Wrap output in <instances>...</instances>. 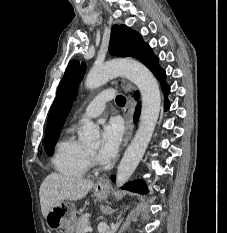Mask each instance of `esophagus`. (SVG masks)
Returning <instances> with one entry per match:
<instances>
[{"label":"esophagus","instance_id":"obj_1","mask_svg":"<svg viewBox=\"0 0 227 233\" xmlns=\"http://www.w3.org/2000/svg\"><path fill=\"white\" fill-rule=\"evenodd\" d=\"M120 84L122 89L128 93L126 105L123 109V116L125 118V136L123 140V148H125L132 138L133 132H134V124H133V110L135 106V100L134 98L129 94L132 92L133 87L125 80L121 79ZM107 181L105 180H99L97 183V186L106 185Z\"/></svg>","mask_w":227,"mask_h":233}]
</instances>
